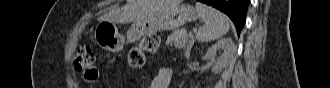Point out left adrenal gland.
Segmentation results:
<instances>
[{"mask_svg":"<svg viewBox=\"0 0 330 88\" xmlns=\"http://www.w3.org/2000/svg\"><path fill=\"white\" fill-rule=\"evenodd\" d=\"M191 40H192V44L187 48V54L190 53V50H191V48H192V46L194 44V40L193 39H191Z\"/></svg>","mask_w":330,"mask_h":88,"instance_id":"obj_1","label":"left adrenal gland"}]
</instances>
